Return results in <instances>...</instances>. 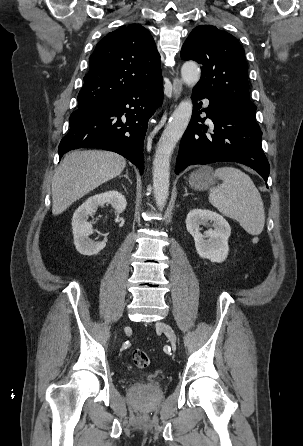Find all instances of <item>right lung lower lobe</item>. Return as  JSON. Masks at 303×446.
Wrapping results in <instances>:
<instances>
[{
	"instance_id": "1",
	"label": "right lung lower lobe",
	"mask_w": 303,
	"mask_h": 446,
	"mask_svg": "<svg viewBox=\"0 0 303 446\" xmlns=\"http://www.w3.org/2000/svg\"><path fill=\"white\" fill-rule=\"evenodd\" d=\"M162 80L78 106L70 131L59 144V158L70 150L93 147L121 154L142 174L148 120L162 103Z\"/></svg>"
}]
</instances>
